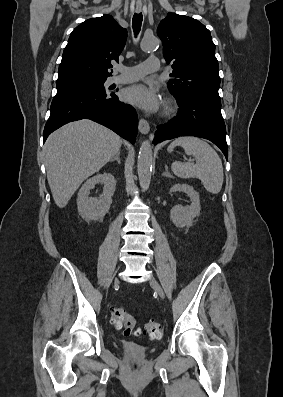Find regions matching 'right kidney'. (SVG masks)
<instances>
[{"label":"right kidney","instance_id":"right-kidney-1","mask_svg":"<svg viewBox=\"0 0 283 397\" xmlns=\"http://www.w3.org/2000/svg\"><path fill=\"white\" fill-rule=\"evenodd\" d=\"M104 184L103 193L99 199L88 197L95 184ZM116 189V180L111 173L97 174L89 178L78 192L77 206L79 214L86 221L102 220L109 212L112 196Z\"/></svg>","mask_w":283,"mask_h":397}]
</instances>
